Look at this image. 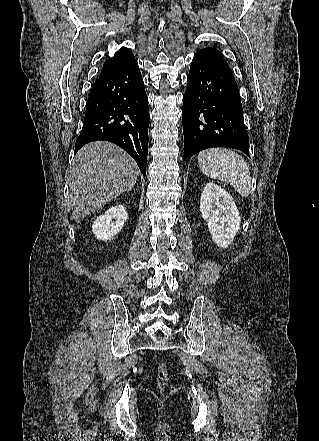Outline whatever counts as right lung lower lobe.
Listing matches in <instances>:
<instances>
[{
  "label": "right lung lower lobe",
  "instance_id": "98d812e1",
  "mask_svg": "<svg viewBox=\"0 0 319 441\" xmlns=\"http://www.w3.org/2000/svg\"><path fill=\"white\" fill-rule=\"evenodd\" d=\"M148 127V98L135 60L95 82L75 153L86 143L110 141L127 151L145 176Z\"/></svg>",
  "mask_w": 319,
  "mask_h": 441
}]
</instances>
